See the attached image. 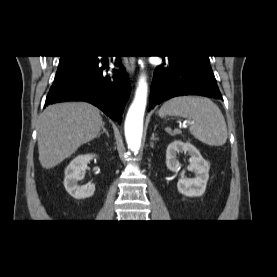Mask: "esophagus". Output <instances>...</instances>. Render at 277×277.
<instances>
[{
  "label": "esophagus",
  "mask_w": 277,
  "mask_h": 277,
  "mask_svg": "<svg viewBox=\"0 0 277 277\" xmlns=\"http://www.w3.org/2000/svg\"><path fill=\"white\" fill-rule=\"evenodd\" d=\"M123 63H124L126 70L132 74L135 70V58L134 57H124Z\"/></svg>",
  "instance_id": "obj_1"
}]
</instances>
